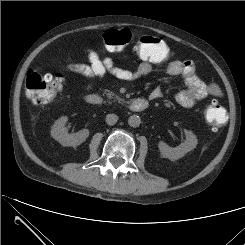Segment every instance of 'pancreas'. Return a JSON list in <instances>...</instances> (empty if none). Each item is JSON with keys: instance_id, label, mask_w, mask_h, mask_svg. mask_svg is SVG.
I'll use <instances>...</instances> for the list:
<instances>
[{"instance_id": "pancreas-1", "label": "pancreas", "mask_w": 245, "mask_h": 245, "mask_svg": "<svg viewBox=\"0 0 245 245\" xmlns=\"http://www.w3.org/2000/svg\"><path fill=\"white\" fill-rule=\"evenodd\" d=\"M104 94L109 99H113L114 101H118L119 103H122V104L125 103L124 99H121L119 96L115 95L112 91L104 90Z\"/></svg>"}]
</instances>
